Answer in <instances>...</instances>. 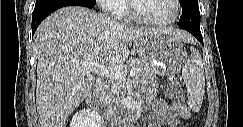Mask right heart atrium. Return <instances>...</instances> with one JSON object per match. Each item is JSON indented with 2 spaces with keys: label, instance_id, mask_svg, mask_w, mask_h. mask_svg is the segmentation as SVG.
Wrapping results in <instances>:
<instances>
[{
  "label": "right heart atrium",
  "instance_id": "d8ad5b80",
  "mask_svg": "<svg viewBox=\"0 0 243 127\" xmlns=\"http://www.w3.org/2000/svg\"><path fill=\"white\" fill-rule=\"evenodd\" d=\"M121 0H97L98 5L108 15H120L123 12Z\"/></svg>",
  "mask_w": 243,
  "mask_h": 127
}]
</instances>
